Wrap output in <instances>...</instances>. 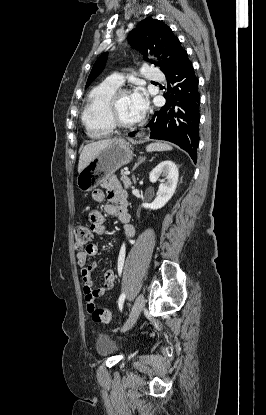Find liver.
Listing matches in <instances>:
<instances>
[{
	"mask_svg": "<svg viewBox=\"0 0 266 415\" xmlns=\"http://www.w3.org/2000/svg\"><path fill=\"white\" fill-rule=\"evenodd\" d=\"M116 140L118 139L100 140L86 145L79 157L78 172L80 173L102 149Z\"/></svg>",
	"mask_w": 266,
	"mask_h": 415,
	"instance_id": "6515ba94",
	"label": "liver"
}]
</instances>
